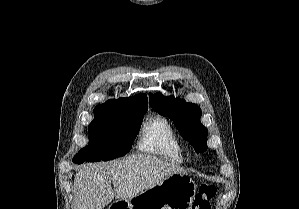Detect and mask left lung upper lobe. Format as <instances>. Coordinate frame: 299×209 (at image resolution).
I'll return each mask as SVG.
<instances>
[{"label": "left lung upper lobe", "mask_w": 299, "mask_h": 209, "mask_svg": "<svg viewBox=\"0 0 299 209\" xmlns=\"http://www.w3.org/2000/svg\"><path fill=\"white\" fill-rule=\"evenodd\" d=\"M150 106L161 115L170 117L183 138L194 146L196 152L207 148V129L201 124V109L193 103L162 94H149Z\"/></svg>", "instance_id": "5c2ea615"}]
</instances>
